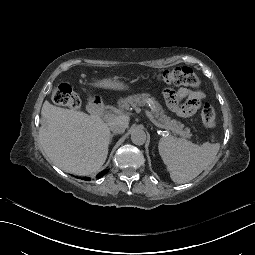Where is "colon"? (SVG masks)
Returning a JSON list of instances; mask_svg holds the SVG:
<instances>
[{
	"mask_svg": "<svg viewBox=\"0 0 255 255\" xmlns=\"http://www.w3.org/2000/svg\"><path fill=\"white\" fill-rule=\"evenodd\" d=\"M158 79L167 84L184 85L193 88H200L201 81L192 69L188 67H177L166 70L158 75ZM53 101L71 109H77L81 105L79 96L67 84H61L54 89L52 94ZM201 120L208 129L216 127V113L212 105L206 103L201 110Z\"/></svg>",
	"mask_w": 255,
	"mask_h": 255,
	"instance_id": "colon-1",
	"label": "colon"
}]
</instances>
